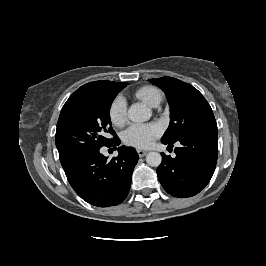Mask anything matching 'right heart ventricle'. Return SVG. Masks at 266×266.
<instances>
[{
	"instance_id": "1",
	"label": "right heart ventricle",
	"mask_w": 266,
	"mask_h": 266,
	"mask_svg": "<svg viewBox=\"0 0 266 266\" xmlns=\"http://www.w3.org/2000/svg\"><path fill=\"white\" fill-rule=\"evenodd\" d=\"M135 96L152 107L158 106L162 101L161 92L153 86H143L139 88Z\"/></svg>"
}]
</instances>
